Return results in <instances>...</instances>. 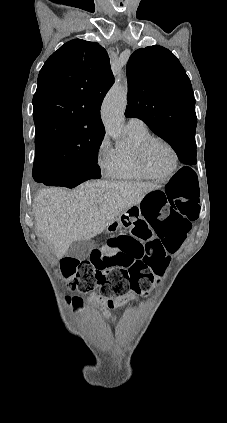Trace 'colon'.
Returning a JSON list of instances; mask_svg holds the SVG:
<instances>
[{
    "instance_id": "1",
    "label": "colon",
    "mask_w": 227,
    "mask_h": 423,
    "mask_svg": "<svg viewBox=\"0 0 227 423\" xmlns=\"http://www.w3.org/2000/svg\"><path fill=\"white\" fill-rule=\"evenodd\" d=\"M199 201L195 173L178 171L163 188L146 195L142 213L149 227L136 221L130 234L108 240L107 246L114 250L112 256L98 248L88 260L64 259V276L81 293L98 285L103 294L114 297L130 291L146 295L164 274L170 261L168 254L187 238L191 223L198 217Z\"/></svg>"
}]
</instances>
